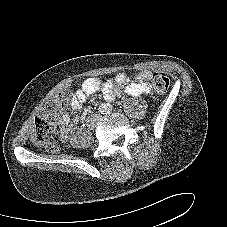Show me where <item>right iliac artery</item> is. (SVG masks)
Instances as JSON below:
<instances>
[{"label":"right iliac artery","instance_id":"1","mask_svg":"<svg viewBox=\"0 0 227 227\" xmlns=\"http://www.w3.org/2000/svg\"><path fill=\"white\" fill-rule=\"evenodd\" d=\"M98 111H99V113H101V114H105L106 108H105L104 106H101V107H99Z\"/></svg>","mask_w":227,"mask_h":227}]
</instances>
